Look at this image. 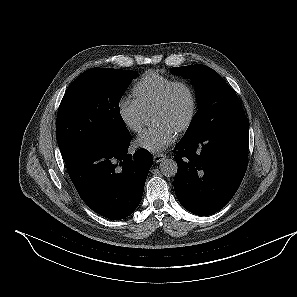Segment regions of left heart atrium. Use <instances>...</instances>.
Instances as JSON below:
<instances>
[{"label":"left heart atrium","instance_id":"left-heart-atrium-1","mask_svg":"<svg viewBox=\"0 0 297 297\" xmlns=\"http://www.w3.org/2000/svg\"><path fill=\"white\" fill-rule=\"evenodd\" d=\"M175 135L176 132L167 124L155 123L142 132L135 144L138 148L156 153L171 145Z\"/></svg>","mask_w":297,"mask_h":297}]
</instances>
